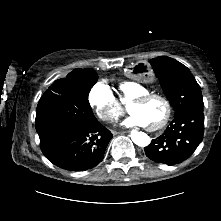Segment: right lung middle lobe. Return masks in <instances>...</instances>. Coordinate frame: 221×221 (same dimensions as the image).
<instances>
[{"label": "right lung middle lobe", "instance_id": "right-lung-middle-lobe-1", "mask_svg": "<svg viewBox=\"0 0 221 221\" xmlns=\"http://www.w3.org/2000/svg\"><path fill=\"white\" fill-rule=\"evenodd\" d=\"M97 81L94 70L56 80L41 97L36 110V131L40 140L70 125L96 122L88 93Z\"/></svg>", "mask_w": 221, "mask_h": 221}]
</instances>
